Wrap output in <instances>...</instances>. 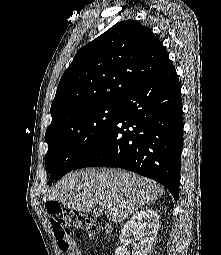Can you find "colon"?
Wrapping results in <instances>:
<instances>
[{"mask_svg": "<svg viewBox=\"0 0 221 255\" xmlns=\"http://www.w3.org/2000/svg\"><path fill=\"white\" fill-rule=\"evenodd\" d=\"M51 226L59 242L60 249L67 255H81L70 236V228H79L94 233L97 225L94 216L62 209L57 204L48 207Z\"/></svg>", "mask_w": 221, "mask_h": 255, "instance_id": "5ec220e1", "label": "colon"}]
</instances>
